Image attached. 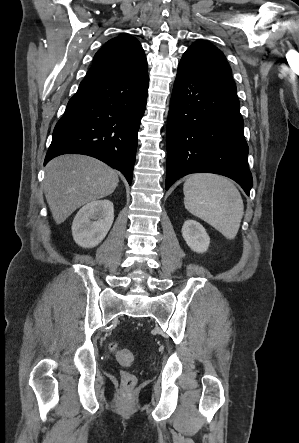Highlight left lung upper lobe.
<instances>
[{
  "label": "left lung upper lobe",
  "mask_w": 299,
  "mask_h": 443,
  "mask_svg": "<svg viewBox=\"0 0 299 443\" xmlns=\"http://www.w3.org/2000/svg\"><path fill=\"white\" fill-rule=\"evenodd\" d=\"M179 68L236 89L224 54L207 41L194 42L183 54Z\"/></svg>",
  "instance_id": "left-lung-upper-lobe-1"
}]
</instances>
